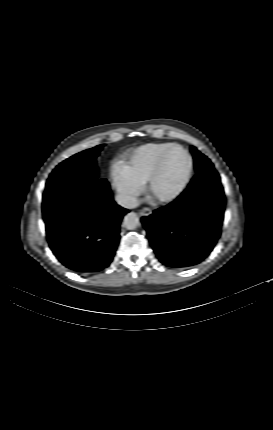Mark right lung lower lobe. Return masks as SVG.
<instances>
[{
  "instance_id": "obj_1",
  "label": "right lung lower lobe",
  "mask_w": 273,
  "mask_h": 430,
  "mask_svg": "<svg viewBox=\"0 0 273 430\" xmlns=\"http://www.w3.org/2000/svg\"><path fill=\"white\" fill-rule=\"evenodd\" d=\"M42 210L49 246L64 266L93 273L110 265L129 210L114 202L106 179L43 201Z\"/></svg>"
}]
</instances>
